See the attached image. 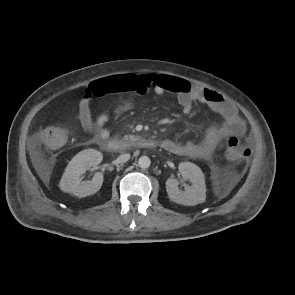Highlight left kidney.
<instances>
[{
	"instance_id": "obj_1",
	"label": "left kidney",
	"mask_w": 295,
	"mask_h": 295,
	"mask_svg": "<svg viewBox=\"0 0 295 295\" xmlns=\"http://www.w3.org/2000/svg\"><path fill=\"white\" fill-rule=\"evenodd\" d=\"M178 169L182 177L188 179L191 185L182 191L178 187V180L168 178L166 181V191L169 198L185 206H194L203 203L206 199V184L201 169L191 162L180 163Z\"/></svg>"
}]
</instances>
